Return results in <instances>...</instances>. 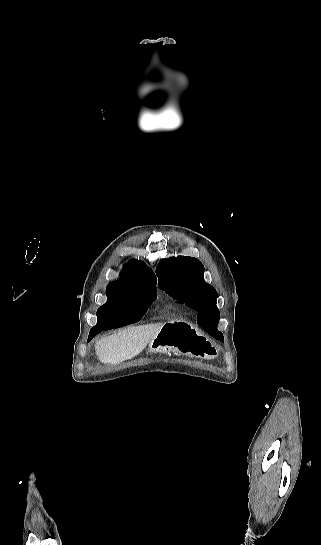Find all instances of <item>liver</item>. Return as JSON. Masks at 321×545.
<instances>
[{"mask_svg": "<svg viewBox=\"0 0 321 545\" xmlns=\"http://www.w3.org/2000/svg\"><path fill=\"white\" fill-rule=\"evenodd\" d=\"M161 327H163L161 323L127 327L115 335L102 337L95 343L96 355L101 363H109V365H119L123 361L133 359L147 347Z\"/></svg>", "mask_w": 321, "mask_h": 545, "instance_id": "1", "label": "liver"}]
</instances>
